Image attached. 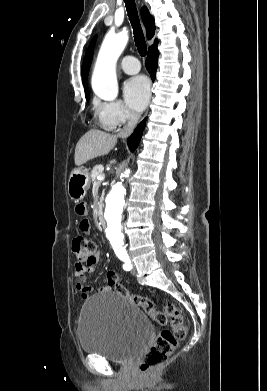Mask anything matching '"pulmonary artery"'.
Wrapping results in <instances>:
<instances>
[{
  "label": "pulmonary artery",
  "instance_id": "obj_1",
  "mask_svg": "<svg viewBox=\"0 0 267 391\" xmlns=\"http://www.w3.org/2000/svg\"><path fill=\"white\" fill-rule=\"evenodd\" d=\"M121 69L127 74H136L140 71V63L134 56H125L120 61Z\"/></svg>",
  "mask_w": 267,
  "mask_h": 391
}]
</instances>
